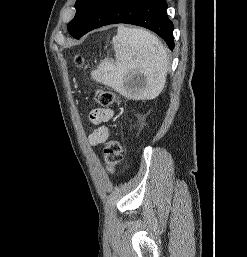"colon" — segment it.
<instances>
[{"label": "colon", "instance_id": "obj_1", "mask_svg": "<svg viewBox=\"0 0 247 257\" xmlns=\"http://www.w3.org/2000/svg\"><path fill=\"white\" fill-rule=\"evenodd\" d=\"M76 64L81 66L82 59L77 58ZM95 100L102 107H108L116 102L117 97L115 93L110 90L99 89L96 91ZM103 156L107 170L110 173L115 172L117 166L122 161V147L116 138L112 137L106 142L103 150Z\"/></svg>", "mask_w": 247, "mask_h": 257}]
</instances>
